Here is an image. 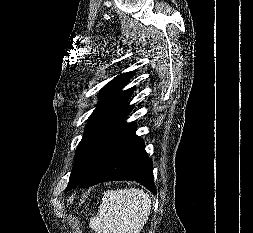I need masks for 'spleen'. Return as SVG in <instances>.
<instances>
[{"label":"spleen","mask_w":253,"mask_h":233,"mask_svg":"<svg viewBox=\"0 0 253 233\" xmlns=\"http://www.w3.org/2000/svg\"><path fill=\"white\" fill-rule=\"evenodd\" d=\"M151 210V199L138 188L107 190L89 226L96 233H140Z\"/></svg>","instance_id":"obj_1"}]
</instances>
